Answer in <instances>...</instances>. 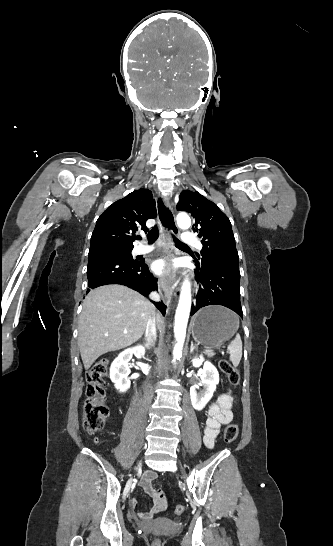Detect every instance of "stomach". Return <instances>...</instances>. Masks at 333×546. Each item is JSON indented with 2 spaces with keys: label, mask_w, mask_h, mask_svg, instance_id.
<instances>
[{
  "label": "stomach",
  "mask_w": 333,
  "mask_h": 546,
  "mask_svg": "<svg viewBox=\"0 0 333 546\" xmlns=\"http://www.w3.org/2000/svg\"><path fill=\"white\" fill-rule=\"evenodd\" d=\"M236 315L218 305L201 309L192 320V336L205 347H217L229 340L237 331Z\"/></svg>",
  "instance_id": "1"
}]
</instances>
